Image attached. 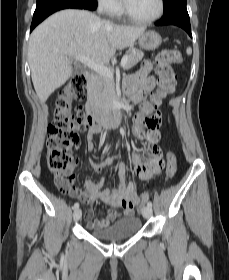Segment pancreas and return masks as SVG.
Returning a JSON list of instances; mask_svg holds the SVG:
<instances>
[{
  "mask_svg": "<svg viewBox=\"0 0 229 280\" xmlns=\"http://www.w3.org/2000/svg\"><path fill=\"white\" fill-rule=\"evenodd\" d=\"M128 61L124 69L128 70L136 65L144 56V53L138 49H130L127 52ZM88 99L94 102L98 107L105 108L109 105L115 94V83L112 78L96 75L88 84Z\"/></svg>",
  "mask_w": 229,
  "mask_h": 280,
  "instance_id": "obj_1",
  "label": "pancreas"
}]
</instances>
